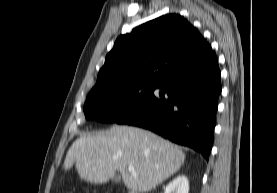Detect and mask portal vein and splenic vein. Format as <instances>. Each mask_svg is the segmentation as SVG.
Returning a JSON list of instances; mask_svg holds the SVG:
<instances>
[{"label": "portal vein and splenic vein", "mask_w": 277, "mask_h": 193, "mask_svg": "<svg viewBox=\"0 0 277 193\" xmlns=\"http://www.w3.org/2000/svg\"><path fill=\"white\" fill-rule=\"evenodd\" d=\"M128 171L131 172V173H134V167L133 166H129L128 167Z\"/></svg>", "instance_id": "obj_1"}]
</instances>
